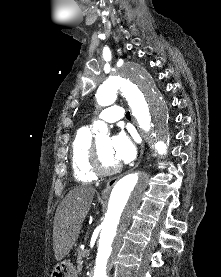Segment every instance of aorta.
I'll return each instance as SVG.
<instances>
[{
  "label": "aorta",
  "mask_w": 221,
  "mask_h": 277,
  "mask_svg": "<svg viewBox=\"0 0 221 277\" xmlns=\"http://www.w3.org/2000/svg\"><path fill=\"white\" fill-rule=\"evenodd\" d=\"M118 95L128 101L139 127L153 140L152 147L161 154L165 153L170 140L168 109L147 71L135 64L123 66L100 85L97 103L102 107L109 106ZM93 132L97 137L104 136L108 127L102 121H95ZM147 182L145 174L135 172L122 177L114 185L101 223L93 277H108V267L139 208Z\"/></svg>",
  "instance_id": "1"
}]
</instances>
